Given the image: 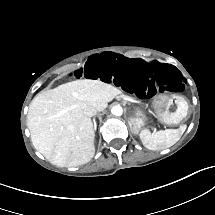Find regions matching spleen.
Returning <instances> with one entry per match:
<instances>
[{
  "mask_svg": "<svg viewBox=\"0 0 215 215\" xmlns=\"http://www.w3.org/2000/svg\"><path fill=\"white\" fill-rule=\"evenodd\" d=\"M139 136L147 149L162 150L173 146L181 138V132L180 129H166L151 134L149 129H144Z\"/></svg>",
  "mask_w": 215,
  "mask_h": 215,
  "instance_id": "spleen-1",
  "label": "spleen"
}]
</instances>
